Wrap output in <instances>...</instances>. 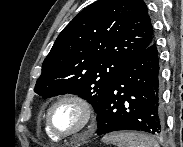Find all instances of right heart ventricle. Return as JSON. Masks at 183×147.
Segmentation results:
<instances>
[{
  "label": "right heart ventricle",
  "instance_id": "1",
  "mask_svg": "<svg viewBox=\"0 0 183 147\" xmlns=\"http://www.w3.org/2000/svg\"><path fill=\"white\" fill-rule=\"evenodd\" d=\"M46 133H47V135L49 136L50 139H52V140H54V141L57 140V138H55V137L48 131L47 127H46Z\"/></svg>",
  "mask_w": 183,
  "mask_h": 147
}]
</instances>
